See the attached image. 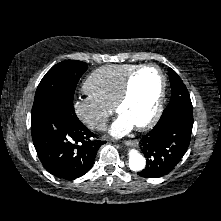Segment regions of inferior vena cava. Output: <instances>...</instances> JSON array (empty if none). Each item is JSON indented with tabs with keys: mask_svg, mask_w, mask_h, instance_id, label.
<instances>
[{
	"mask_svg": "<svg viewBox=\"0 0 221 221\" xmlns=\"http://www.w3.org/2000/svg\"><path fill=\"white\" fill-rule=\"evenodd\" d=\"M88 125L92 129L104 130L106 127V121L104 119H93L88 122Z\"/></svg>",
	"mask_w": 221,
	"mask_h": 221,
	"instance_id": "obj_1",
	"label": "inferior vena cava"
}]
</instances>
